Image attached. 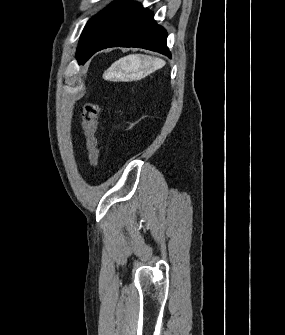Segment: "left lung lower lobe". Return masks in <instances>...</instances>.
<instances>
[{
    "label": "left lung lower lobe",
    "mask_w": 285,
    "mask_h": 335,
    "mask_svg": "<svg viewBox=\"0 0 285 335\" xmlns=\"http://www.w3.org/2000/svg\"><path fill=\"white\" fill-rule=\"evenodd\" d=\"M167 32L156 24L153 14L133 0L108 5L94 19L82 40L79 64L108 47H138L171 57Z\"/></svg>",
    "instance_id": "left-lung-lower-lobe-1"
}]
</instances>
